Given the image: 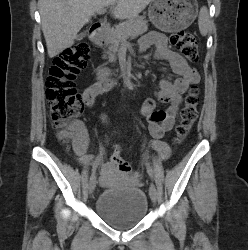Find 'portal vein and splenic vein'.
<instances>
[{
	"label": "portal vein and splenic vein",
	"instance_id": "1",
	"mask_svg": "<svg viewBox=\"0 0 248 250\" xmlns=\"http://www.w3.org/2000/svg\"><path fill=\"white\" fill-rule=\"evenodd\" d=\"M98 14H104V13H106V9H101V10H98V12H97Z\"/></svg>",
	"mask_w": 248,
	"mask_h": 250
}]
</instances>
